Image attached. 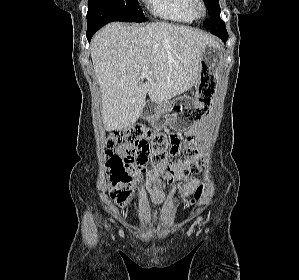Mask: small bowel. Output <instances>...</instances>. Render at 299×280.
<instances>
[{
  "instance_id": "small-bowel-1",
  "label": "small bowel",
  "mask_w": 299,
  "mask_h": 280,
  "mask_svg": "<svg viewBox=\"0 0 299 280\" xmlns=\"http://www.w3.org/2000/svg\"><path fill=\"white\" fill-rule=\"evenodd\" d=\"M196 129L189 130V135H194ZM127 146L119 147L118 151L122 156L127 155ZM201 168L195 167L189 174L186 183L183 185L182 191L179 195L173 197V202H176L179 198H184L191 195L199 183L198 178L195 176V172H198ZM145 187L150 195L152 202L156 204H162L166 201V194L163 191L162 175L158 168H151L145 173Z\"/></svg>"
}]
</instances>
